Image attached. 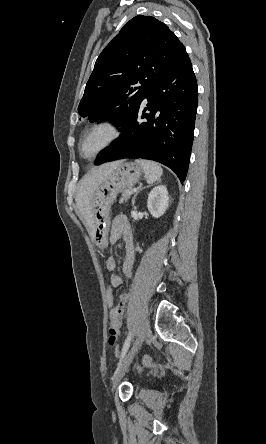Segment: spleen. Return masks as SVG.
Masks as SVG:
<instances>
[{"mask_svg": "<svg viewBox=\"0 0 266 444\" xmlns=\"http://www.w3.org/2000/svg\"><path fill=\"white\" fill-rule=\"evenodd\" d=\"M136 162L142 167L148 184L154 183L161 177L163 170L158 163L142 159L136 160Z\"/></svg>", "mask_w": 266, "mask_h": 444, "instance_id": "1", "label": "spleen"}]
</instances>
